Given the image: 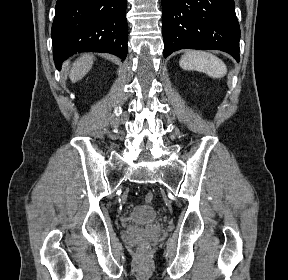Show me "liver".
I'll use <instances>...</instances> for the list:
<instances>
[{
    "label": "liver",
    "instance_id": "obj_1",
    "mask_svg": "<svg viewBox=\"0 0 288 280\" xmlns=\"http://www.w3.org/2000/svg\"><path fill=\"white\" fill-rule=\"evenodd\" d=\"M93 65V56L85 54L81 56L75 63L69 73V78L73 83L81 80L91 69Z\"/></svg>",
    "mask_w": 288,
    "mask_h": 280
}]
</instances>
